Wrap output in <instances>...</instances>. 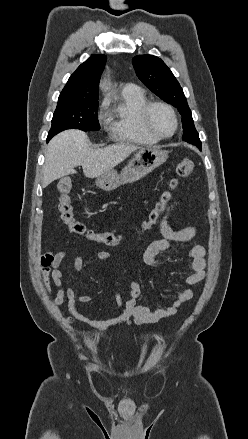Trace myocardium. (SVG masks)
<instances>
[{
	"instance_id": "obj_1",
	"label": "myocardium",
	"mask_w": 248,
	"mask_h": 439,
	"mask_svg": "<svg viewBox=\"0 0 248 439\" xmlns=\"http://www.w3.org/2000/svg\"><path fill=\"white\" fill-rule=\"evenodd\" d=\"M155 106H162L164 108H166L174 121V129L173 131L168 134V135H163L160 134L159 132H157L154 127L152 126L151 120H150V114H151V110L155 107ZM141 121L143 126L145 127V129L154 137H156L159 140L162 139H168L171 138L178 130V126H179V121H178V116L177 113L175 111V109L173 108V106L165 101H161V100H154V101H148L142 108L141 110Z\"/></svg>"
}]
</instances>
